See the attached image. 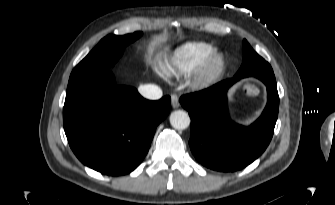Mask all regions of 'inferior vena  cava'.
I'll return each instance as SVG.
<instances>
[{
	"instance_id": "1",
	"label": "inferior vena cava",
	"mask_w": 335,
	"mask_h": 205,
	"mask_svg": "<svg viewBox=\"0 0 335 205\" xmlns=\"http://www.w3.org/2000/svg\"><path fill=\"white\" fill-rule=\"evenodd\" d=\"M138 91L143 97L150 100H158L162 97V90L154 84L140 85Z\"/></svg>"
}]
</instances>
